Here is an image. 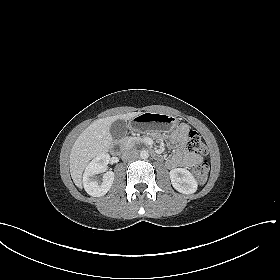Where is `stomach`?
Returning <instances> with one entry per match:
<instances>
[{
    "mask_svg": "<svg viewBox=\"0 0 280 280\" xmlns=\"http://www.w3.org/2000/svg\"><path fill=\"white\" fill-rule=\"evenodd\" d=\"M177 126L178 120L174 116L162 113L144 112L131 120V128L135 131L146 127H154L159 131L169 133Z\"/></svg>",
    "mask_w": 280,
    "mask_h": 280,
    "instance_id": "0dacf381",
    "label": "stomach"
}]
</instances>
